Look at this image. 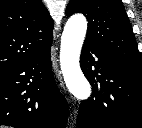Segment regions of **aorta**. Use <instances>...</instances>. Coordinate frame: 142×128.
Returning <instances> with one entry per match:
<instances>
[{"mask_svg": "<svg viewBox=\"0 0 142 128\" xmlns=\"http://www.w3.org/2000/svg\"><path fill=\"white\" fill-rule=\"evenodd\" d=\"M87 32V20L83 15L68 19L61 37L60 66L70 93L79 100H87L91 86L83 75L79 60Z\"/></svg>", "mask_w": 142, "mask_h": 128, "instance_id": "1", "label": "aorta"}]
</instances>
